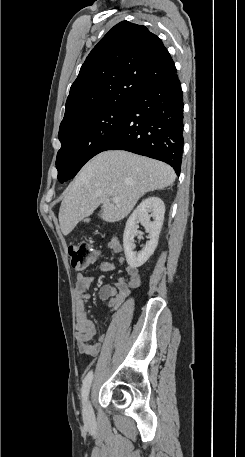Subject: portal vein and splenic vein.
Wrapping results in <instances>:
<instances>
[{"instance_id": "18ae733b", "label": "portal vein and splenic vein", "mask_w": 245, "mask_h": 457, "mask_svg": "<svg viewBox=\"0 0 245 457\" xmlns=\"http://www.w3.org/2000/svg\"><path fill=\"white\" fill-rule=\"evenodd\" d=\"M112 200L115 204H119V196H113Z\"/></svg>"}]
</instances>
